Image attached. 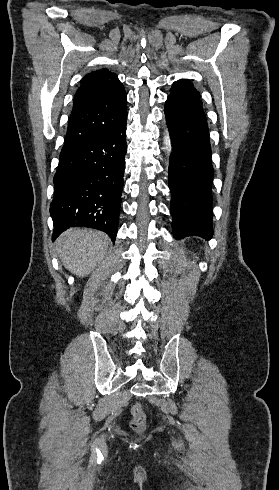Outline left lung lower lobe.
Here are the masks:
<instances>
[{
  "label": "left lung lower lobe",
  "mask_w": 279,
  "mask_h": 490,
  "mask_svg": "<svg viewBox=\"0 0 279 490\" xmlns=\"http://www.w3.org/2000/svg\"><path fill=\"white\" fill-rule=\"evenodd\" d=\"M165 115L173 141L168 171L173 235L210 239L213 168L205 113L202 107L168 96Z\"/></svg>",
  "instance_id": "obj_1"
}]
</instances>
